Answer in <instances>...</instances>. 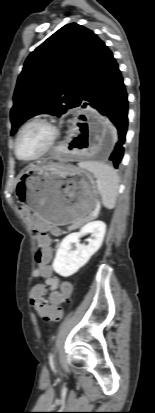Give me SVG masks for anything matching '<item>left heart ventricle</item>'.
<instances>
[{"instance_id": "obj_1", "label": "left heart ventricle", "mask_w": 155, "mask_h": 413, "mask_svg": "<svg viewBox=\"0 0 155 413\" xmlns=\"http://www.w3.org/2000/svg\"><path fill=\"white\" fill-rule=\"evenodd\" d=\"M52 137L50 126L37 122L28 126L22 133L18 151L24 158H31L38 155L45 149Z\"/></svg>"}]
</instances>
